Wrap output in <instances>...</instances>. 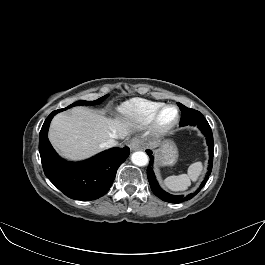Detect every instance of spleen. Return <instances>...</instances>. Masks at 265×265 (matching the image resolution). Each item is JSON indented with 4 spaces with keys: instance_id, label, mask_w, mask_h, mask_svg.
Listing matches in <instances>:
<instances>
[{
    "instance_id": "1",
    "label": "spleen",
    "mask_w": 265,
    "mask_h": 265,
    "mask_svg": "<svg viewBox=\"0 0 265 265\" xmlns=\"http://www.w3.org/2000/svg\"><path fill=\"white\" fill-rule=\"evenodd\" d=\"M203 169L201 162H195L188 167L187 174L169 176L164 180L166 187L172 191H183L190 186L191 181H196Z\"/></svg>"
}]
</instances>
